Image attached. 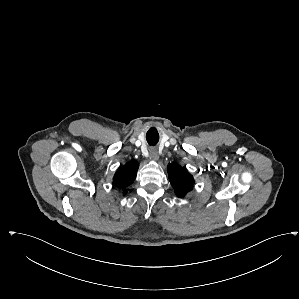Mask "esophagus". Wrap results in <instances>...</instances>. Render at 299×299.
<instances>
[{
    "mask_svg": "<svg viewBox=\"0 0 299 299\" xmlns=\"http://www.w3.org/2000/svg\"><path fill=\"white\" fill-rule=\"evenodd\" d=\"M149 152H150L151 158H152L153 160H157V159L159 158L158 151H157L156 148H153V147L150 148V149H149Z\"/></svg>",
    "mask_w": 299,
    "mask_h": 299,
    "instance_id": "34e87169",
    "label": "esophagus"
}]
</instances>
